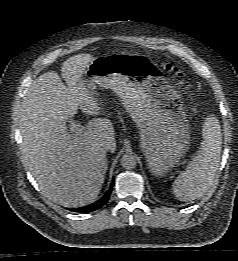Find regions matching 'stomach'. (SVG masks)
<instances>
[{
  "label": "stomach",
  "instance_id": "1",
  "mask_svg": "<svg viewBox=\"0 0 238 261\" xmlns=\"http://www.w3.org/2000/svg\"><path fill=\"white\" fill-rule=\"evenodd\" d=\"M82 78L90 91L113 90L136 123L140 148L150 171L166 174L189 144V125L179 94L162 72L143 57L107 54L97 57Z\"/></svg>",
  "mask_w": 238,
  "mask_h": 261
}]
</instances>
